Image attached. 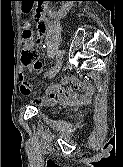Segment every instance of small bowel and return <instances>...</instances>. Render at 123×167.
<instances>
[{
    "label": "small bowel",
    "mask_w": 123,
    "mask_h": 167,
    "mask_svg": "<svg viewBox=\"0 0 123 167\" xmlns=\"http://www.w3.org/2000/svg\"><path fill=\"white\" fill-rule=\"evenodd\" d=\"M34 8L33 1H22V13H32ZM44 32L41 34L38 43L42 41ZM30 71L40 73L42 65L32 67ZM71 81L72 86L65 87L64 85ZM20 92L27 96L31 92V87L25 79L23 70L20 72ZM46 97L39 101L43 105H54L56 103L68 104L71 106H83L91 102L95 95L93 86L88 82L78 80L76 77L65 78L61 83L52 84L46 88Z\"/></svg>",
    "instance_id": "1"
}]
</instances>
